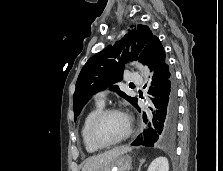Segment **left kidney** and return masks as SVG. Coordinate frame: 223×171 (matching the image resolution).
Wrapping results in <instances>:
<instances>
[{"mask_svg":"<svg viewBox=\"0 0 223 171\" xmlns=\"http://www.w3.org/2000/svg\"><path fill=\"white\" fill-rule=\"evenodd\" d=\"M147 171H169V162L166 157H158L151 162Z\"/></svg>","mask_w":223,"mask_h":171,"instance_id":"left-kidney-1","label":"left kidney"}]
</instances>
